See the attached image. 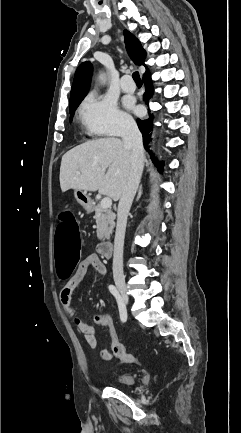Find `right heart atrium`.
<instances>
[{
	"label": "right heart atrium",
	"instance_id": "right-heart-atrium-1",
	"mask_svg": "<svg viewBox=\"0 0 241 433\" xmlns=\"http://www.w3.org/2000/svg\"><path fill=\"white\" fill-rule=\"evenodd\" d=\"M79 118L92 136L120 135L134 129V121L108 96L89 94L79 107Z\"/></svg>",
	"mask_w": 241,
	"mask_h": 433
}]
</instances>
